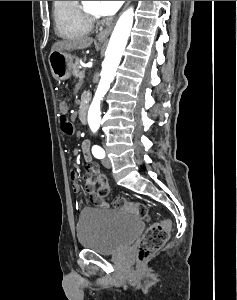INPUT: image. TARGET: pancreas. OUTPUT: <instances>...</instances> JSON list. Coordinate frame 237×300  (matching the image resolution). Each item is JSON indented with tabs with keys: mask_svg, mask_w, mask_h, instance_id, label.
I'll list each match as a JSON object with an SVG mask.
<instances>
[{
	"mask_svg": "<svg viewBox=\"0 0 237 300\" xmlns=\"http://www.w3.org/2000/svg\"><path fill=\"white\" fill-rule=\"evenodd\" d=\"M80 74L81 73H80V69H79V61H78V59H75V63L73 65V75H74V77H77V79H82V76Z\"/></svg>",
	"mask_w": 237,
	"mask_h": 300,
	"instance_id": "1",
	"label": "pancreas"
}]
</instances>
